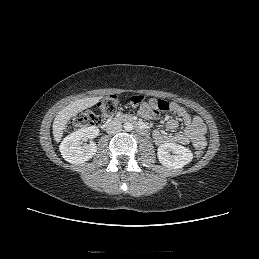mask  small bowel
Masks as SVG:
<instances>
[{"label":"small bowel","mask_w":259,"mask_h":259,"mask_svg":"<svg viewBox=\"0 0 259 259\" xmlns=\"http://www.w3.org/2000/svg\"><path fill=\"white\" fill-rule=\"evenodd\" d=\"M174 111L183 122V131L176 132L175 130L178 128L179 122L176 119H170L165 124V129L170 133L160 128L154 130L153 138L155 142L159 145L172 142L192 144L196 149L205 148L207 144L205 137L207 128L203 120L199 116L192 117L182 106H177ZM139 114L143 118H149L151 116V112L143 108H140Z\"/></svg>","instance_id":"1"}]
</instances>
